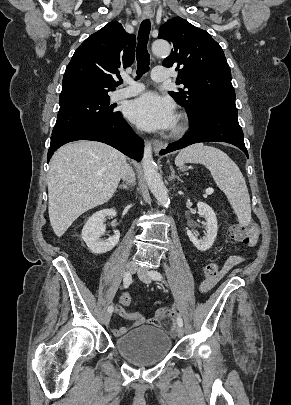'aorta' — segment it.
<instances>
[{
    "mask_svg": "<svg viewBox=\"0 0 291 405\" xmlns=\"http://www.w3.org/2000/svg\"><path fill=\"white\" fill-rule=\"evenodd\" d=\"M152 51L156 56H168L171 52V47L165 40H156L152 44ZM142 166L149 190L162 206L168 207L170 204L168 191L156 169V163L152 156L151 143L145 144Z\"/></svg>",
    "mask_w": 291,
    "mask_h": 405,
    "instance_id": "aorta-1",
    "label": "aorta"
}]
</instances>
